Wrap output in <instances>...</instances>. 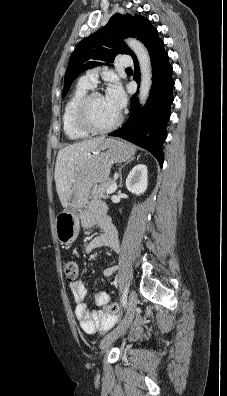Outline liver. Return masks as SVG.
<instances>
[{
	"label": "liver",
	"mask_w": 227,
	"mask_h": 396,
	"mask_svg": "<svg viewBox=\"0 0 227 396\" xmlns=\"http://www.w3.org/2000/svg\"><path fill=\"white\" fill-rule=\"evenodd\" d=\"M104 141L105 137L103 136L77 142L59 150L56 159L54 179L56 191L63 207L67 206L75 166L89 152L95 150Z\"/></svg>",
	"instance_id": "1"
}]
</instances>
